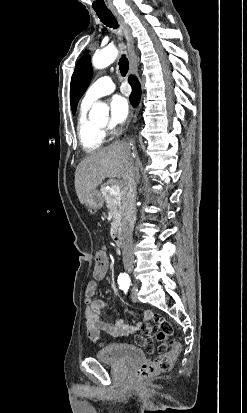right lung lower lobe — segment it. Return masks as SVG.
Segmentation results:
<instances>
[{"label":"right lung lower lobe","mask_w":247,"mask_h":413,"mask_svg":"<svg viewBox=\"0 0 247 413\" xmlns=\"http://www.w3.org/2000/svg\"><path fill=\"white\" fill-rule=\"evenodd\" d=\"M129 83L132 86V93L130 95V101L133 106H136L140 100L141 89L137 79L133 76L129 77Z\"/></svg>","instance_id":"right-lung-lower-lobe-1"}]
</instances>
